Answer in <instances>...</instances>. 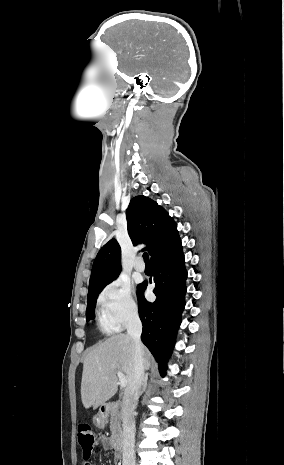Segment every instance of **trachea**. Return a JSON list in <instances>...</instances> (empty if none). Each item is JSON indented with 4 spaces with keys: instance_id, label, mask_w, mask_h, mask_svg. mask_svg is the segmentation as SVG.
<instances>
[{
    "instance_id": "1",
    "label": "trachea",
    "mask_w": 284,
    "mask_h": 465,
    "mask_svg": "<svg viewBox=\"0 0 284 465\" xmlns=\"http://www.w3.org/2000/svg\"><path fill=\"white\" fill-rule=\"evenodd\" d=\"M143 258H144L145 264H146V265H150L148 253L145 252V253L143 254Z\"/></svg>"
}]
</instances>
